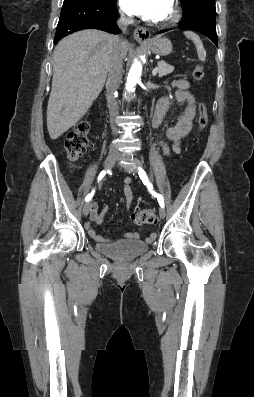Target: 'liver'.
Segmentation results:
<instances>
[{
	"instance_id": "liver-1",
	"label": "liver",
	"mask_w": 254,
	"mask_h": 397,
	"mask_svg": "<svg viewBox=\"0 0 254 397\" xmlns=\"http://www.w3.org/2000/svg\"><path fill=\"white\" fill-rule=\"evenodd\" d=\"M113 44L114 36L87 29L65 37L55 47L47 106L51 139H57L75 125L102 91ZM127 51V44H122V58Z\"/></svg>"
}]
</instances>
